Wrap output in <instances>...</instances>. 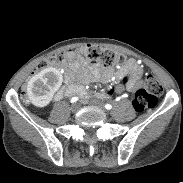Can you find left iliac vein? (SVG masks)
<instances>
[{
  "mask_svg": "<svg viewBox=\"0 0 183 183\" xmlns=\"http://www.w3.org/2000/svg\"><path fill=\"white\" fill-rule=\"evenodd\" d=\"M92 104H93L94 106L100 108V109H103V108H104L103 105H102V103H101L100 101H98V100H94V101L92 102Z\"/></svg>",
  "mask_w": 183,
  "mask_h": 183,
  "instance_id": "left-iliac-vein-1",
  "label": "left iliac vein"
}]
</instances>
